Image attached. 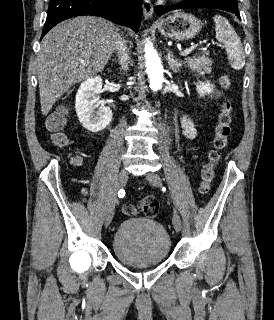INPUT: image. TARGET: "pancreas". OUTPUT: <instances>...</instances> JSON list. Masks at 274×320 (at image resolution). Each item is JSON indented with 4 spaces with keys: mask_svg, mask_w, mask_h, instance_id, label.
Segmentation results:
<instances>
[{
    "mask_svg": "<svg viewBox=\"0 0 274 320\" xmlns=\"http://www.w3.org/2000/svg\"><path fill=\"white\" fill-rule=\"evenodd\" d=\"M210 52H202V54H196V56H192V58H185L184 64H186L187 68H190L192 72H197L200 76H205V74H210L212 72L213 62L211 58H208Z\"/></svg>",
    "mask_w": 274,
    "mask_h": 320,
    "instance_id": "pancreas-1",
    "label": "pancreas"
}]
</instances>
